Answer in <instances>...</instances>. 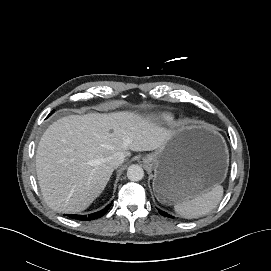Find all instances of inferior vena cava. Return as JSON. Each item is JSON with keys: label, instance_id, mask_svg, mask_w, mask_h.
Here are the masks:
<instances>
[{"label": "inferior vena cava", "instance_id": "obj_1", "mask_svg": "<svg viewBox=\"0 0 271 271\" xmlns=\"http://www.w3.org/2000/svg\"><path fill=\"white\" fill-rule=\"evenodd\" d=\"M125 160V155L123 153H115L109 157L108 163L113 168H118Z\"/></svg>", "mask_w": 271, "mask_h": 271}]
</instances>
